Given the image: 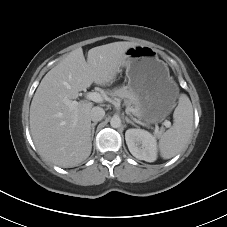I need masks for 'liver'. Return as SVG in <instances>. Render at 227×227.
<instances>
[{"label": "liver", "mask_w": 227, "mask_h": 227, "mask_svg": "<svg viewBox=\"0 0 227 227\" xmlns=\"http://www.w3.org/2000/svg\"><path fill=\"white\" fill-rule=\"evenodd\" d=\"M133 42H114L88 51L70 52L42 79L30 106V131L38 152L60 167L75 166L89 157L92 149L91 102L81 101L76 109L64 103L74 100L95 83L113 82L125 63Z\"/></svg>", "instance_id": "obj_1"}]
</instances>
